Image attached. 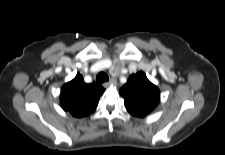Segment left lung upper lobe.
<instances>
[{"label":"left lung upper lobe","instance_id":"obj_1","mask_svg":"<svg viewBox=\"0 0 225 155\" xmlns=\"http://www.w3.org/2000/svg\"><path fill=\"white\" fill-rule=\"evenodd\" d=\"M127 111L143 118L150 114L160 102V91L146 75L140 71L132 74L127 83L120 89Z\"/></svg>","mask_w":225,"mask_h":155}]
</instances>
